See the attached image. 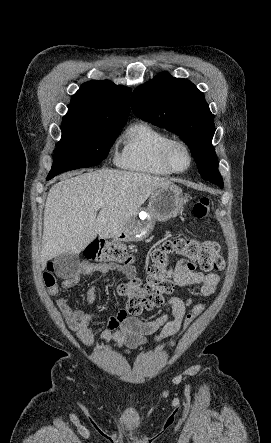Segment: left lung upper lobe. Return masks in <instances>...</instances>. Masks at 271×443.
Returning <instances> with one entry per match:
<instances>
[{
  "label": "left lung upper lobe",
  "mask_w": 271,
  "mask_h": 443,
  "mask_svg": "<svg viewBox=\"0 0 271 443\" xmlns=\"http://www.w3.org/2000/svg\"><path fill=\"white\" fill-rule=\"evenodd\" d=\"M131 106L139 118L180 136L191 149L201 177L223 188L212 146L214 117L192 82L162 72L134 90Z\"/></svg>",
  "instance_id": "5c2ea615"
}]
</instances>
